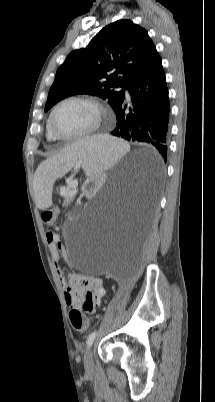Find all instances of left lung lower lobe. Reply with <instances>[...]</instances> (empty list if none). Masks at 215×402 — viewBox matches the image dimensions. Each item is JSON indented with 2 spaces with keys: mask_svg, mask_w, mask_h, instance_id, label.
<instances>
[{
  "mask_svg": "<svg viewBox=\"0 0 215 402\" xmlns=\"http://www.w3.org/2000/svg\"><path fill=\"white\" fill-rule=\"evenodd\" d=\"M127 89L133 105L128 107L124 95L114 110L117 124L111 134L127 141L145 142L154 146L166 162L170 103L161 58L158 57L146 70L134 77ZM162 172L163 168L158 161L157 169L146 175L152 188H155Z\"/></svg>",
  "mask_w": 215,
  "mask_h": 402,
  "instance_id": "obj_1",
  "label": "left lung lower lobe"
}]
</instances>
